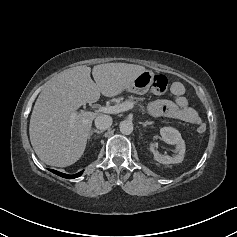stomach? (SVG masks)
Returning a JSON list of instances; mask_svg holds the SVG:
<instances>
[{"mask_svg": "<svg viewBox=\"0 0 237 237\" xmlns=\"http://www.w3.org/2000/svg\"><path fill=\"white\" fill-rule=\"evenodd\" d=\"M153 76V72L148 70L140 73L127 85L126 90L139 95L147 93L152 84Z\"/></svg>", "mask_w": 237, "mask_h": 237, "instance_id": "0dacf381", "label": "stomach"}]
</instances>
